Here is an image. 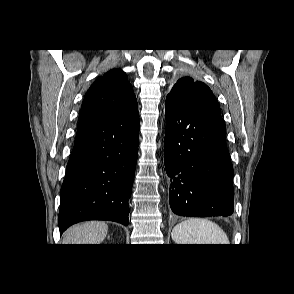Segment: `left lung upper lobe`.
<instances>
[{
	"instance_id": "obj_1",
	"label": "left lung upper lobe",
	"mask_w": 294,
	"mask_h": 294,
	"mask_svg": "<svg viewBox=\"0 0 294 294\" xmlns=\"http://www.w3.org/2000/svg\"><path fill=\"white\" fill-rule=\"evenodd\" d=\"M166 99L190 110L220 109L210 88L191 76L180 78Z\"/></svg>"
}]
</instances>
